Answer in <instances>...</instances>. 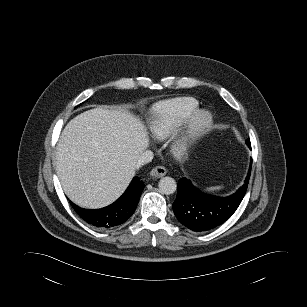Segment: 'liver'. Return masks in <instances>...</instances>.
<instances>
[{"mask_svg":"<svg viewBox=\"0 0 307 307\" xmlns=\"http://www.w3.org/2000/svg\"><path fill=\"white\" fill-rule=\"evenodd\" d=\"M149 145L145 126L123 110L101 107L73 118L56 151V170L67 197L97 209L118 199L135 175Z\"/></svg>","mask_w":307,"mask_h":307,"instance_id":"liver-1","label":"liver"}]
</instances>
